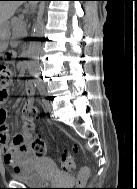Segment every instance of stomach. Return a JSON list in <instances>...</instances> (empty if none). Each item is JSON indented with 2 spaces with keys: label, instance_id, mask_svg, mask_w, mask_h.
<instances>
[{
  "label": "stomach",
  "instance_id": "1",
  "mask_svg": "<svg viewBox=\"0 0 137 189\" xmlns=\"http://www.w3.org/2000/svg\"><path fill=\"white\" fill-rule=\"evenodd\" d=\"M10 33L8 29V24L6 23L0 29V51L6 46V41L9 39Z\"/></svg>",
  "mask_w": 137,
  "mask_h": 189
}]
</instances>
